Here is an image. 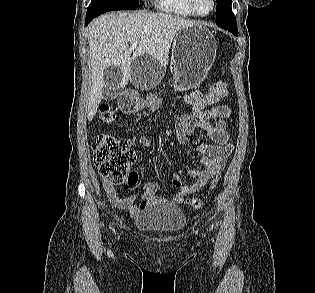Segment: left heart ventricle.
<instances>
[{
    "label": "left heart ventricle",
    "instance_id": "left-heart-ventricle-1",
    "mask_svg": "<svg viewBox=\"0 0 315 293\" xmlns=\"http://www.w3.org/2000/svg\"><path fill=\"white\" fill-rule=\"evenodd\" d=\"M197 9L199 12L206 14L212 8L211 0H196Z\"/></svg>",
    "mask_w": 315,
    "mask_h": 293
}]
</instances>
